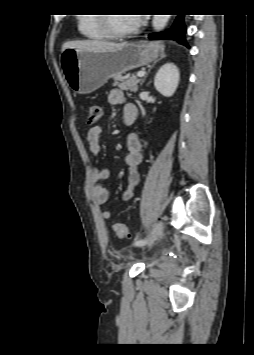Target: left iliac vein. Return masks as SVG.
Wrapping results in <instances>:
<instances>
[{
  "instance_id": "1",
  "label": "left iliac vein",
  "mask_w": 254,
  "mask_h": 355,
  "mask_svg": "<svg viewBox=\"0 0 254 355\" xmlns=\"http://www.w3.org/2000/svg\"><path fill=\"white\" fill-rule=\"evenodd\" d=\"M163 230H164V223L163 222L158 223L153 231V235L151 239L146 244L142 245V247L151 245L156 240V238L162 234Z\"/></svg>"
}]
</instances>
